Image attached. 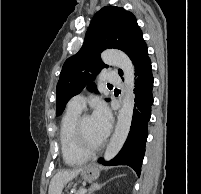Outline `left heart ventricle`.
Segmentation results:
<instances>
[{"mask_svg":"<svg viewBox=\"0 0 201 194\" xmlns=\"http://www.w3.org/2000/svg\"><path fill=\"white\" fill-rule=\"evenodd\" d=\"M82 129H83L84 138L88 145L95 146L99 144L100 142H102V140L100 139V137L98 136L96 132V129L91 117H88L83 121Z\"/></svg>","mask_w":201,"mask_h":194,"instance_id":"obj_1","label":"left heart ventricle"}]
</instances>
